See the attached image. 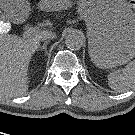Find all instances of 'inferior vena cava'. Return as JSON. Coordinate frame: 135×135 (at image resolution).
Wrapping results in <instances>:
<instances>
[{
	"label": "inferior vena cava",
	"mask_w": 135,
	"mask_h": 135,
	"mask_svg": "<svg viewBox=\"0 0 135 135\" xmlns=\"http://www.w3.org/2000/svg\"><path fill=\"white\" fill-rule=\"evenodd\" d=\"M56 37V34L52 31H42L40 33L41 40L53 39Z\"/></svg>",
	"instance_id": "obj_1"
}]
</instances>
